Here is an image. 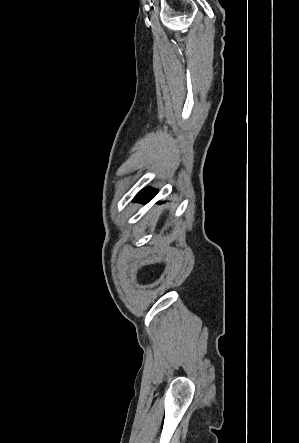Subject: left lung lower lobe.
Returning <instances> with one entry per match:
<instances>
[{
    "mask_svg": "<svg viewBox=\"0 0 299 443\" xmlns=\"http://www.w3.org/2000/svg\"><path fill=\"white\" fill-rule=\"evenodd\" d=\"M155 194L156 191L144 189L137 194L135 201L146 203L150 199H152L155 196Z\"/></svg>",
    "mask_w": 299,
    "mask_h": 443,
    "instance_id": "1",
    "label": "left lung lower lobe"
}]
</instances>
